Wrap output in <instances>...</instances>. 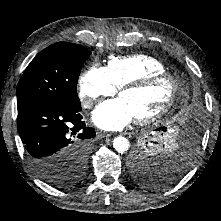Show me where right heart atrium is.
<instances>
[{
	"mask_svg": "<svg viewBox=\"0 0 221 221\" xmlns=\"http://www.w3.org/2000/svg\"><path fill=\"white\" fill-rule=\"evenodd\" d=\"M117 88L105 67L94 64L79 78L78 95L85 108H92L99 99L112 96Z\"/></svg>",
	"mask_w": 221,
	"mask_h": 221,
	"instance_id": "right-heart-atrium-1",
	"label": "right heart atrium"
}]
</instances>
